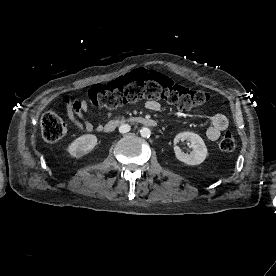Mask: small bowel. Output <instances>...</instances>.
I'll return each mask as SVG.
<instances>
[{
    "label": "small bowel",
    "mask_w": 276,
    "mask_h": 276,
    "mask_svg": "<svg viewBox=\"0 0 276 276\" xmlns=\"http://www.w3.org/2000/svg\"><path fill=\"white\" fill-rule=\"evenodd\" d=\"M63 103L66 108L68 119L77 129L86 132H92L96 129V127L86 119V115L89 112V105L86 100L65 96L63 98ZM145 106L151 111H159L161 108L160 103L155 100L147 101ZM228 126L229 120L226 115L222 113L215 114L212 117L211 126L206 131L207 138L211 141H216ZM97 129H100V127Z\"/></svg>",
    "instance_id": "c3829d8e"
}]
</instances>
